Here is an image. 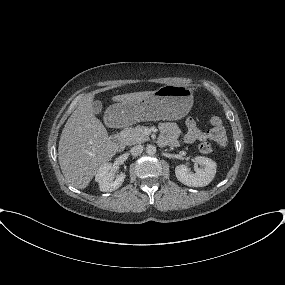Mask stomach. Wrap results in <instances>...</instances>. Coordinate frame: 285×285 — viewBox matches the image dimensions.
Listing matches in <instances>:
<instances>
[{"instance_id":"stomach-1","label":"stomach","mask_w":285,"mask_h":285,"mask_svg":"<svg viewBox=\"0 0 285 285\" xmlns=\"http://www.w3.org/2000/svg\"><path fill=\"white\" fill-rule=\"evenodd\" d=\"M193 105V90L183 85H164L149 96L127 103L113 104L108 116L120 125L143 121L178 120Z\"/></svg>"}]
</instances>
